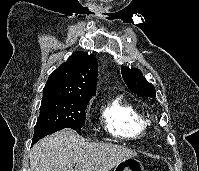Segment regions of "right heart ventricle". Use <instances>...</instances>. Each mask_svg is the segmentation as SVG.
I'll return each mask as SVG.
<instances>
[{
	"instance_id": "e07e8e85",
	"label": "right heart ventricle",
	"mask_w": 199,
	"mask_h": 171,
	"mask_svg": "<svg viewBox=\"0 0 199 171\" xmlns=\"http://www.w3.org/2000/svg\"><path fill=\"white\" fill-rule=\"evenodd\" d=\"M101 119L106 131L122 139H139L148 135L150 121L123 95L111 97L101 108Z\"/></svg>"
}]
</instances>
